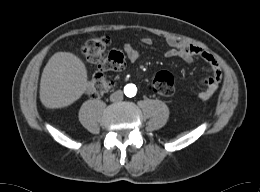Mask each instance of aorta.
Wrapping results in <instances>:
<instances>
[{"mask_svg":"<svg viewBox=\"0 0 260 192\" xmlns=\"http://www.w3.org/2000/svg\"><path fill=\"white\" fill-rule=\"evenodd\" d=\"M137 88L134 84H128L124 87V93L128 97H133L136 95Z\"/></svg>","mask_w":260,"mask_h":192,"instance_id":"762f6f07","label":"aorta"}]
</instances>
